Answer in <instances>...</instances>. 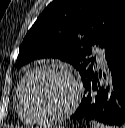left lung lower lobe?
<instances>
[{
  "mask_svg": "<svg viewBox=\"0 0 125 128\" xmlns=\"http://www.w3.org/2000/svg\"><path fill=\"white\" fill-rule=\"evenodd\" d=\"M104 55L109 71L95 69L85 77L83 99L71 118L125 128V27L106 45Z\"/></svg>",
  "mask_w": 125,
  "mask_h": 128,
  "instance_id": "left-lung-lower-lobe-1",
  "label": "left lung lower lobe"
}]
</instances>
